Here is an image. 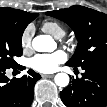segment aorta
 Segmentation results:
<instances>
[{"label": "aorta", "mask_w": 107, "mask_h": 107, "mask_svg": "<svg viewBox=\"0 0 107 107\" xmlns=\"http://www.w3.org/2000/svg\"><path fill=\"white\" fill-rule=\"evenodd\" d=\"M32 47L38 52H52L56 49V42L49 35H39L33 39ZM54 80L57 86L66 87L70 79L66 73H58Z\"/></svg>", "instance_id": "obj_1"}]
</instances>
